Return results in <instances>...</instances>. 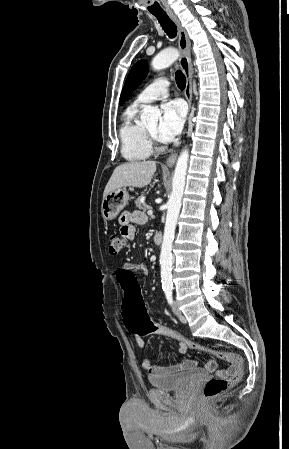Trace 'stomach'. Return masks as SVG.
Segmentation results:
<instances>
[{"instance_id": "1", "label": "stomach", "mask_w": 289, "mask_h": 449, "mask_svg": "<svg viewBox=\"0 0 289 449\" xmlns=\"http://www.w3.org/2000/svg\"><path fill=\"white\" fill-rule=\"evenodd\" d=\"M130 196L125 187L111 191L103 198L101 213L105 220H113L128 204Z\"/></svg>"}]
</instances>
